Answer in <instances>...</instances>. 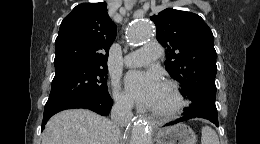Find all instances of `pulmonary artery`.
Listing matches in <instances>:
<instances>
[{"mask_svg":"<svg viewBox=\"0 0 260 144\" xmlns=\"http://www.w3.org/2000/svg\"><path fill=\"white\" fill-rule=\"evenodd\" d=\"M162 54V48L158 43H148L140 50L128 54L124 63L128 67H141L154 62Z\"/></svg>","mask_w":260,"mask_h":144,"instance_id":"obj_1","label":"pulmonary artery"}]
</instances>
